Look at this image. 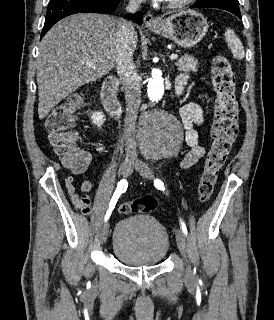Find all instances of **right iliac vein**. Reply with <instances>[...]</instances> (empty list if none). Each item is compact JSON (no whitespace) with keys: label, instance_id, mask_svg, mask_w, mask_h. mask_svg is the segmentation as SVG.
<instances>
[{"label":"right iliac vein","instance_id":"right-iliac-vein-1","mask_svg":"<svg viewBox=\"0 0 274 320\" xmlns=\"http://www.w3.org/2000/svg\"><path fill=\"white\" fill-rule=\"evenodd\" d=\"M135 164H136V161L134 159L126 158L120 166V173L123 176H128L132 171V168L135 166ZM108 234H109V222L106 221L102 226L101 233H100L102 244L106 242Z\"/></svg>","mask_w":274,"mask_h":320}]
</instances>
